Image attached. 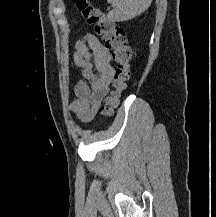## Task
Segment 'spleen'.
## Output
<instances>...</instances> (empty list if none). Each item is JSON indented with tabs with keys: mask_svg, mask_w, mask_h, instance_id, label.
Here are the masks:
<instances>
[{
	"mask_svg": "<svg viewBox=\"0 0 216 217\" xmlns=\"http://www.w3.org/2000/svg\"><path fill=\"white\" fill-rule=\"evenodd\" d=\"M107 2L115 7L108 13V19L123 22L146 11L152 0H107Z\"/></svg>",
	"mask_w": 216,
	"mask_h": 217,
	"instance_id": "1",
	"label": "spleen"
}]
</instances>
